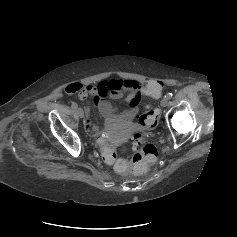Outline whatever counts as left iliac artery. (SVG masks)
<instances>
[{
    "label": "left iliac artery",
    "instance_id": "obj_1",
    "mask_svg": "<svg viewBox=\"0 0 237 237\" xmlns=\"http://www.w3.org/2000/svg\"><path fill=\"white\" fill-rule=\"evenodd\" d=\"M172 96H173V94L172 93H168L165 97H167L168 99H171L172 98Z\"/></svg>",
    "mask_w": 237,
    "mask_h": 237
}]
</instances>
